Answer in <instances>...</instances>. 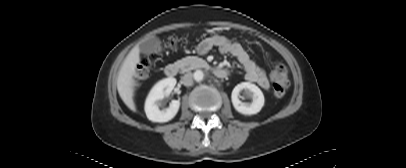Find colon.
<instances>
[{
    "label": "colon",
    "mask_w": 406,
    "mask_h": 168,
    "mask_svg": "<svg viewBox=\"0 0 406 168\" xmlns=\"http://www.w3.org/2000/svg\"><path fill=\"white\" fill-rule=\"evenodd\" d=\"M170 47L176 46V40L170 39L168 41ZM154 56L144 57L136 70V76L138 78H144L148 75L149 70L152 67ZM273 81V92L276 97H282L286 93V90L289 85L288 72L284 65L278 64L274 67L271 73Z\"/></svg>",
    "instance_id": "1"
}]
</instances>
